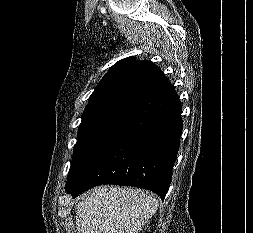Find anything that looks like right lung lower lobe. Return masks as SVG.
I'll list each match as a JSON object with an SVG mask.
<instances>
[{
	"mask_svg": "<svg viewBox=\"0 0 253 233\" xmlns=\"http://www.w3.org/2000/svg\"><path fill=\"white\" fill-rule=\"evenodd\" d=\"M183 122L170 82L135 102L68 177L73 198L101 184L134 186L164 200L177 158Z\"/></svg>",
	"mask_w": 253,
	"mask_h": 233,
	"instance_id": "obj_1",
	"label": "right lung lower lobe"
}]
</instances>
